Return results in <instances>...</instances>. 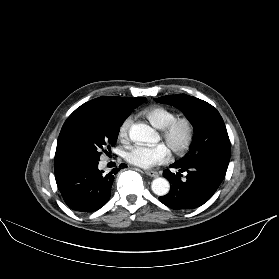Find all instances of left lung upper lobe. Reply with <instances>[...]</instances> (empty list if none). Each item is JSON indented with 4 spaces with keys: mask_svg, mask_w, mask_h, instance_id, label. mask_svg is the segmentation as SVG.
Masks as SVG:
<instances>
[{
    "mask_svg": "<svg viewBox=\"0 0 279 279\" xmlns=\"http://www.w3.org/2000/svg\"><path fill=\"white\" fill-rule=\"evenodd\" d=\"M180 109L194 127L189 152L175 163L183 166L207 162L227 171L230 160V140L219 112L209 103L186 95H167L155 99Z\"/></svg>",
    "mask_w": 279,
    "mask_h": 279,
    "instance_id": "left-lung-upper-lobe-1",
    "label": "left lung upper lobe"
}]
</instances>
